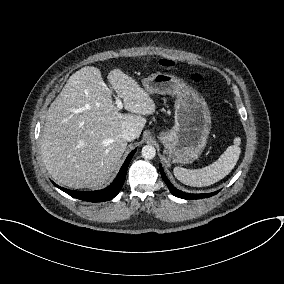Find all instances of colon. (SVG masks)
Instances as JSON below:
<instances>
[{"instance_id": "obj_1", "label": "colon", "mask_w": 284, "mask_h": 284, "mask_svg": "<svg viewBox=\"0 0 284 284\" xmlns=\"http://www.w3.org/2000/svg\"><path fill=\"white\" fill-rule=\"evenodd\" d=\"M159 64L164 68H168V67H171L173 65L172 61L166 60V59L160 60ZM191 80L194 83H200V82H202L203 77H202V75L196 73V74H193L191 76Z\"/></svg>"}]
</instances>
